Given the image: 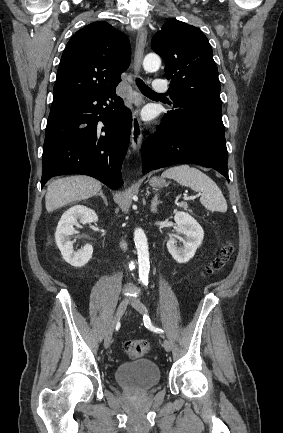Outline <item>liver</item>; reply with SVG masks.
<instances>
[{
	"instance_id": "liver-1",
	"label": "liver",
	"mask_w": 283,
	"mask_h": 433,
	"mask_svg": "<svg viewBox=\"0 0 283 433\" xmlns=\"http://www.w3.org/2000/svg\"><path fill=\"white\" fill-rule=\"evenodd\" d=\"M101 188V182L91 176H66L58 178L49 184L45 196L46 210L52 212L69 202L83 200L97 194Z\"/></svg>"
}]
</instances>
